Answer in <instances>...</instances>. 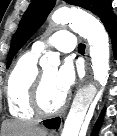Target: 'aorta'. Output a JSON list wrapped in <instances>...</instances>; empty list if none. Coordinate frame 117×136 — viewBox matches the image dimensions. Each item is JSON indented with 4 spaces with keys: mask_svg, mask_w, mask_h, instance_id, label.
Returning a JSON list of instances; mask_svg holds the SVG:
<instances>
[{
    "mask_svg": "<svg viewBox=\"0 0 117 136\" xmlns=\"http://www.w3.org/2000/svg\"><path fill=\"white\" fill-rule=\"evenodd\" d=\"M51 19L57 24L69 23L88 41L94 79L104 87L109 75L110 51L109 37L103 24L93 16L74 8H60L53 13ZM59 64V55L54 52H47L41 58L43 68H57ZM102 91L96 93L93 86L79 90L65 120L61 136H79L89 108L100 99Z\"/></svg>",
    "mask_w": 117,
    "mask_h": 136,
    "instance_id": "1",
    "label": "aorta"
}]
</instances>
